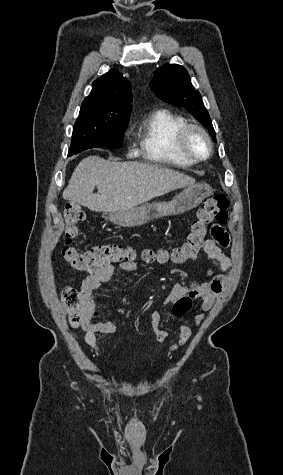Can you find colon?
<instances>
[{"label": "colon", "mask_w": 283, "mask_h": 475, "mask_svg": "<svg viewBox=\"0 0 283 475\" xmlns=\"http://www.w3.org/2000/svg\"><path fill=\"white\" fill-rule=\"evenodd\" d=\"M86 215L83 209L76 203L68 202L64 209L65 228L67 239L62 250L63 258L68 261L78 272L90 273L108 264H127L133 267L135 252L131 248H122L116 245H96L85 252L79 251L72 241L80 233L79 224ZM228 219V200L225 194H216L210 197L199 209L197 219L192 222L186 239L173 249L154 252L146 250L143 257L146 261L158 260L161 262L171 261L183 263L187 260H195L205 246L208 228L215 224L226 223ZM77 291L73 288H65L62 293V301L68 307V322L78 327L81 324L80 317L76 315L79 307L85 303L84 298L76 297ZM192 298L183 297L177 305H173V314H186L191 307Z\"/></svg>", "instance_id": "obj_1"}]
</instances>
